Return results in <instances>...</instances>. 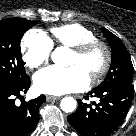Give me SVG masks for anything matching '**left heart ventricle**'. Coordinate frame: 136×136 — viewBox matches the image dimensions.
I'll return each mask as SVG.
<instances>
[{
  "label": "left heart ventricle",
  "mask_w": 136,
  "mask_h": 136,
  "mask_svg": "<svg viewBox=\"0 0 136 136\" xmlns=\"http://www.w3.org/2000/svg\"><path fill=\"white\" fill-rule=\"evenodd\" d=\"M104 60V53L102 49L95 48L84 56H78L71 52L69 65H78L84 72L90 77V75L96 71Z\"/></svg>",
  "instance_id": "b2bd125f"
}]
</instances>
